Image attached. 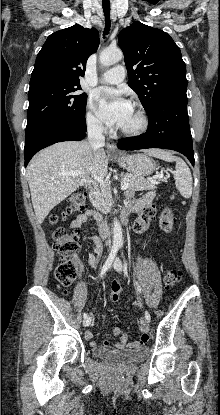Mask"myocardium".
Listing matches in <instances>:
<instances>
[{
  "label": "myocardium",
  "instance_id": "myocardium-1",
  "mask_svg": "<svg viewBox=\"0 0 220 415\" xmlns=\"http://www.w3.org/2000/svg\"><path fill=\"white\" fill-rule=\"evenodd\" d=\"M133 109L138 115L139 123L136 127L133 128H124L120 126L119 129L124 135L138 136L145 133L149 127V117L144 108L141 105L135 103L133 104Z\"/></svg>",
  "mask_w": 220,
  "mask_h": 415
}]
</instances>
